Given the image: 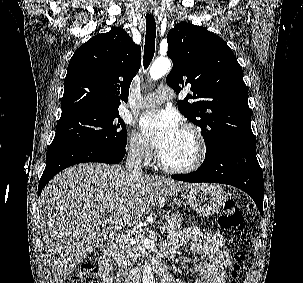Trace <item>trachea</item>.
Masks as SVG:
<instances>
[{"mask_svg": "<svg viewBox=\"0 0 303 283\" xmlns=\"http://www.w3.org/2000/svg\"><path fill=\"white\" fill-rule=\"evenodd\" d=\"M156 23L152 16H146V36L144 46L143 65L147 69L155 52Z\"/></svg>", "mask_w": 303, "mask_h": 283, "instance_id": "obj_1", "label": "trachea"}]
</instances>
